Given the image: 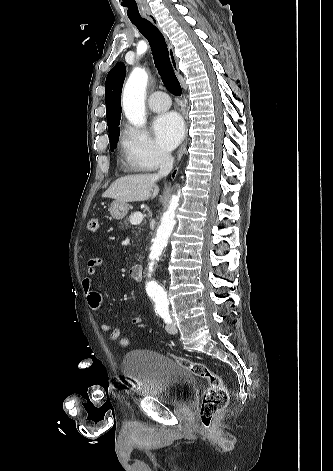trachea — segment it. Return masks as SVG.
Returning <instances> with one entry per match:
<instances>
[{
	"label": "trachea",
	"mask_w": 333,
	"mask_h": 471,
	"mask_svg": "<svg viewBox=\"0 0 333 471\" xmlns=\"http://www.w3.org/2000/svg\"><path fill=\"white\" fill-rule=\"evenodd\" d=\"M131 22L148 40L151 47L154 64L165 87L170 93L180 96L182 93L181 85L172 67L164 36L159 31V29L147 19L131 20Z\"/></svg>",
	"instance_id": "obj_1"
}]
</instances>
